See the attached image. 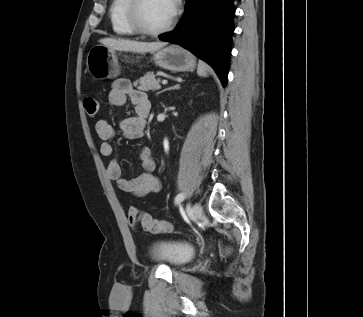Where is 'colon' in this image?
Returning <instances> with one entry per match:
<instances>
[{"label":"colon","mask_w":363,"mask_h":317,"mask_svg":"<svg viewBox=\"0 0 363 317\" xmlns=\"http://www.w3.org/2000/svg\"><path fill=\"white\" fill-rule=\"evenodd\" d=\"M83 105L87 115L94 118L99 111V102L95 97L88 96ZM129 222L132 226H141L146 232L159 234L171 230L172 226L167 220L155 219L151 215L142 212L136 207H130L128 211Z\"/></svg>","instance_id":"1"}]
</instances>
